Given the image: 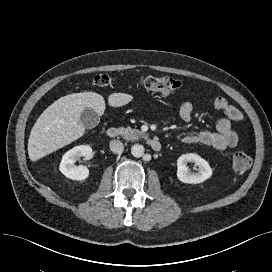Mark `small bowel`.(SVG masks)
<instances>
[{
  "label": "small bowel",
  "mask_w": 272,
  "mask_h": 272,
  "mask_svg": "<svg viewBox=\"0 0 272 272\" xmlns=\"http://www.w3.org/2000/svg\"><path fill=\"white\" fill-rule=\"evenodd\" d=\"M198 103L197 99L184 102L179 108L180 118L185 122L190 121ZM210 103L224 114V117L216 125V131L187 134L182 137L181 142L203 144L219 150L235 147L238 143V135L232 129V123L241 122L244 119L242 112L221 96L211 99Z\"/></svg>",
  "instance_id": "obj_1"
}]
</instances>
